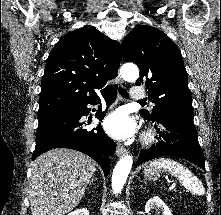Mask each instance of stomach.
<instances>
[{"mask_svg":"<svg viewBox=\"0 0 221 215\" xmlns=\"http://www.w3.org/2000/svg\"><path fill=\"white\" fill-rule=\"evenodd\" d=\"M160 172H161L160 168L147 167L144 170V176L148 180H157L160 177Z\"/></svg>","mask_w":221,"mask_h":215,"instance_id":"1","label":"stomach"}]
</instances>
